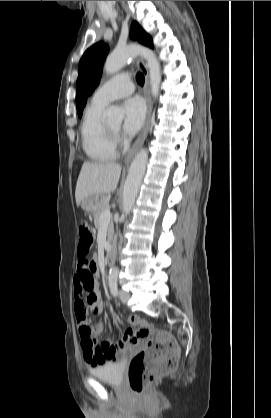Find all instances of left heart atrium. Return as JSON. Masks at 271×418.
<instances>
[{
  "label": "left heart atrium",
  "mask_w": 271,
  "mask_h": 418,
  "mask_svg": "<svg viewBox=\"0 0 271 418\" xmlns=\"http://www.w3.org/2000/svg\"><path fill=\"white\" fill-rule=\"evenodd\" d=\"M124 111L123 130L127 135H134L144 123L146 115L145 104L139 97H133L125 102Z\"/></svg>",
  "instance_id": "39dd6f15"
}]
</instances>
